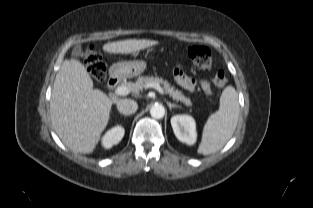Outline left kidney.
Masks as SVG:
<instances>
[{"label": "left kidney", "instance_id": "left-kidney-1", "mask_svg": "<svg viewBox=\"0 0 313 208\" xmlns=\"http://www.w3.org/2000/svg\"><path fill=\"white\" fill-rule=\"evenodd\" d=\"M171 126L177 139L187 145H193L196 142V123L190 115H174L171 118Z\"/></svg>", "mask_w": 313, "mask_h": 208}]
</instances>
